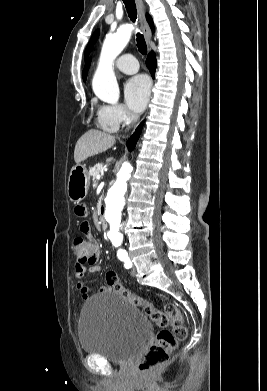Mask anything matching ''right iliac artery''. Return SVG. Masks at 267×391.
<instances>
[{
  "label": "right iliac artery",
  "mask_w": 267,
  "mask_h": 391,
  "mask_svg": "<svg viewBox=\"0 0 267 391\" xmlns=\"http://www.w3.org/2000/svg\"><path fill=\"white\" fill-rule=\"evenodd\" d=\"M121 260L125 262V264H124L125 268H127V269L131 268L132 264H131V261L128 257H125Z\"/></svg>",
  "instance_id": "82829eb1"
}]
</instances>
